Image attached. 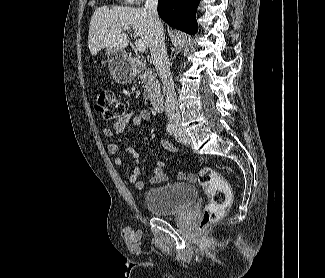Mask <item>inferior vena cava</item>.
Returning a JSON list of instances; mask_svg holds the SVG:
<instances>
[{
  "label": "inferior vena cava",
  "instance_id": "1",
  "mask_svg": "<svg viewBox=\"0 0 325 278\" xmlns=\"http://www.w3.org/2000/svg\"><path fill=\"white\" fill-rule=\"evenodd\" d=\"M158 0H146L145 10L148 14L150 26V53L156 71L166 88L165 111L168 119L174 123L181 120L176 98L174 81L168 65V56L165 48L164 30L157 13Z\"/></svg>",
  "mask_w": 325,
  "mask_h": 278
}]
</instances>
